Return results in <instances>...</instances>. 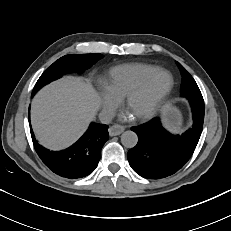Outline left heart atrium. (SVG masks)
<instances>
[{"label": "left heart atrium", "instance_id": "obj_1", "mask_svg": "<svg viewBox=\"0 0 231 231\" xmlns=\"http://www.w3.org/2000/svg\"><path fill=\"white\" fill-rule=\"evenodd\" d=\"M131 117H132V114L129 111H126L125 113H123L121 115L122 119H128V118H131Z\"/></svg>", "mask_w": 231, "mask_h": 231}]
</instances>
